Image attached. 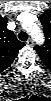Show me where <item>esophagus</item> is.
<instances>
[{
	"mask_svg": "<svg viewBox=\"0 0 51 101\" xmlns=\"http://www.w3.org/2000/svg\"><path fill=\"white\" fill-rule=\"evenodd\" d=\"M26 44H27L28 46H33V40H32V39H29V40L26 42Z\"/></svg>",
	"mask_w": 51,
	"mask_h": 101,
	"instance_id": "1",
	"label": "esophagus"
}]
</instances>
